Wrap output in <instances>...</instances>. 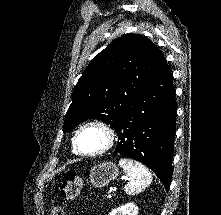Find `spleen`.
<instances>
[{
	"instance_id": "1",
	"label": "spleen",
	"mask_w": 221,
	"mask_h": 215,
	"mask_svg": "<svg viewBox=\"0 0 221 215\" xmlns=\"http://www.w3.org/2000/svg\"><path fill=\"white\" fill-rule=\"evenodd\" d=\"M119 165L129 177V182L125 185L126 194H138L152 182V175L143 164L129 158H121Z\"/></svg>"
}]
</instances>
